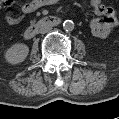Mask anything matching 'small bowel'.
Returning <instances> with one entry per match:
<instances>
[{"instance_id": "1", "label": "small bowel", "mask_w": 119, "mask_h": 119, "mask_svg": "<svg viewBox=\"0 0 119 119\" xmlns=\"http://www.w3.org/2000/svg\"><path fill=\"white\" fill-rule=\"evenodd\" d=\"M14 0H6L3 3L5 9H9L14 5ZM55 0H32L24 2L20 10L23 14H29L37 9L54 4ZM91 5L98 15V18H94L90 21V30L95 37L106 38L112 32L117 24L116 11L114 7L105 5L101 0H92ZM7 24L16 25L21 21V17H15L7 15L5 18Z\"/></svg>"}]
</instances>
